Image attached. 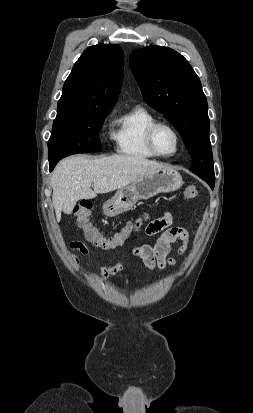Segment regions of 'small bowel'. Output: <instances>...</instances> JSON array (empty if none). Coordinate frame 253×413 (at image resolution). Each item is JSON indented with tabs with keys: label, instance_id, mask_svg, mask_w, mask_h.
Listing matches in <instances>:
<instances>
[{
	"label": "small bowel",
	"instance_id": "c3829d8e",
	"mask_svg": "<svg viewBox=\"0 0 253 413\" xmlns=\"http://www.w3.org/2000/svg\"><path fill=\"white\" fill-rule=\"evenodd\" d=\"M172 215L170 212H164L159 218L150 221L146 228L145 233L149 236H154L161 233L156 243L151 245H141L134 249L133 253L139 257L145 266L151 270L153 269H165L167 266H174L176 260L169 256L171 251V246L176 241H181L182 245L178 250L179 254H183L187 247L188 233L185 229L181 227H171L172 225ZM135 231H139L142 225V219L136 220L133 224ZM71 249L79 251L83 255L89 254V248L83 242H75L71 244ZM73 262L81 267L82 261L76 256H71ZM123 269L122 263H116L108 267L101 269V278L106 279L109 276H113L121 272Z\"/></svg>",
	"mask_w": 253,
	"mask_h": 413
}]
</instances>
